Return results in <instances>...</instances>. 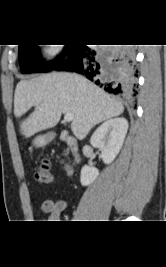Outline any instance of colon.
Listing matches in <instances>:
<instances>
[{
	"label": "colon",
	"instance_id": "5ec220e1",
	"mask_svg": "<svg viewBox=\"0 0 166 267\" xmlns=\"http://www.w3.org/2000/svg\"><path fill=\"white\" fill-rule=\"evenodd\" d=\"M69 169V165H66ZM35 177L40 183L48 184L52 180L51 162L49 159L44 158L40 160L35 168Z\"/></svg>",
	"mask_w": 166,
	"mask_h": 267
}]
</instances>
